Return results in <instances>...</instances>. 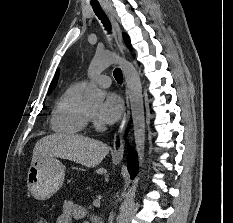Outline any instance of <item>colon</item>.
<instances>
[{"label": "colon", "mask_w": 233, "mask_h": 223, "mask_svg": "<svg viewBox=\"0 0 233 223\" xmlns=\"http://www.w3.org/2000/svg\"><path fill=\"white\" fill-rule=\"evenodd\" d=\"M37 223H44V221H42V220H38V221H37Z\"/></svg>", "instance_id": "obj_1"}]
</instances>
